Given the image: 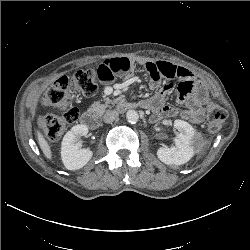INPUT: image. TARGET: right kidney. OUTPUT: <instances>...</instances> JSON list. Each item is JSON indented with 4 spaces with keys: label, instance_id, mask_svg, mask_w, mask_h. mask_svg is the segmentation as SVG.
Segmentation results:
<instances>
[{
    "label": "right kidney",
    "instance_id": "obj_1",
    "mask_svg": "<svg viewBox=\"0 0 250 250\" xmlns=\"http://www.w3.org/2000/svg\"><path fill=\"white\" fill-rule=\"evenodd\" d=\"M86 125H75L66 133L61 145V158L68 170H78L85 166L92 158L93 152L89 149H80L76 141L81 136H86Z\"/></svg>",
    "mask_w": 250,
    "mask_h": 250
}]
</instances>
